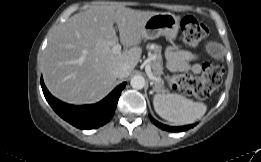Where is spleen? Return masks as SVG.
<instances>
[{
	"instance_id": "3e777b00",
	"label": "spleen",
	"mask_w": 261,
	"mask_h": 162,
	"mask_svg": "<svg viewBox=\"0 0 261 162\" xmlns=\"http://www.w3.org/2000/svg\"><path fill=\"white\" fill-rule=\"evenodd\" d=\"M153 105L161 118L177 125L192 123L207 110L204 103L194 102L179 94H155Z\"/></svg>"
}]
</instances>
